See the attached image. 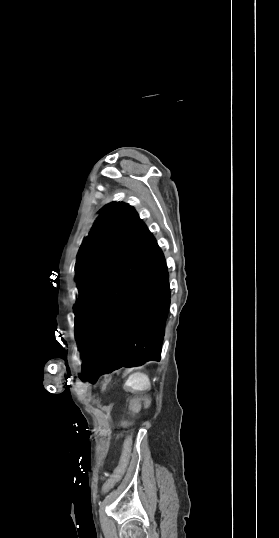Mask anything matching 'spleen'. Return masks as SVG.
I'll list each match as a JSON object with an SVG mask.
<instances>
[{
    "mask_svg": "<svg viewBox=\"0 0 279 538\" xmlns=\"http://www.w3.org/2000/svg\"><path fill=\"white\" fill-rule=\"evenodd\" d=\"M128 386L130 388V393L133 394H147L150 392V389L147 387L149 386L150 380L147 378V376L138 375V376H131L127 380Z\"/></svg>",
    "mask_w": 279,
    "mask_h": 538,
    "instance_id": "obj_1",
    "label": "spleen"
}]
</instances>
